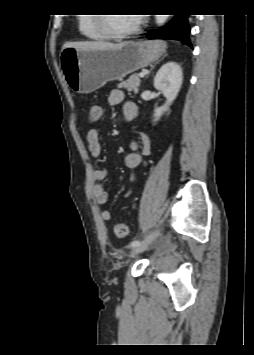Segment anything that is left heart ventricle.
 Returning <instances> with one entry per match:
<instances>
[{"label":"left heart ventricle","mask_w":254,"mask_h":355,"mask_svg":"<svg viewBox=\"0 0 254 355\" xmlns=\"http://www.w3.org/2000/svg\"><path fill=\"white\" fill-rule=\"evenodd\" d=\"M108 27L114 33H121L135 27L137 20L133 16L113 15L108 17Z\"/></svg>","instance_id":"1"}]
</instances>
